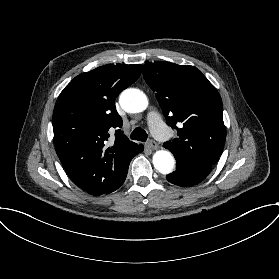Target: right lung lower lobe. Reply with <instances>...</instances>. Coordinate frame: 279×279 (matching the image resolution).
Masks as SVG:
<instances>
[{"label": "right lung lower lobe", "instance_id": "98d812e1", "mask_svg": "<svg viewBox=\"0 0 279 279\" xmlns=\"http://www.w3.org/2000/svg\"><path fill=\"white\" fill-rule=\"evenodd\" d=\"M127 176V175H126ZM126 176L120 181V183L117 185V187H116V189H118L123 183H124V181H125V179H126ZM115 189V190H116ZM114 190V191H115Z\"/></svg>", "mask_w": 279, "mask_h": 279}]
</instances>
